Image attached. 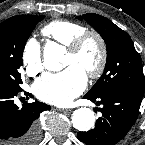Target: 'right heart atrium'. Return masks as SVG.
I'll use <instances>...</instances> for the list:
<instances>
[{
  "label": "right heart atrium",
  "mask_w": 145,
  "mask_h": 145,
  "mask_svg": "<svg viewBox=\"0 0 145 145\" xmlns=\"http://www.w3.org/2000/svg\"><path fill=\"white\" fill-rule=\"evenodd\" d=\"M22 63L30 77L36 76L43 69L41 46L34 38L29 39L23 48Z\"/></svg>",
  "instance_id": "1"
}]
</instances>
